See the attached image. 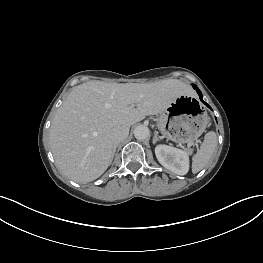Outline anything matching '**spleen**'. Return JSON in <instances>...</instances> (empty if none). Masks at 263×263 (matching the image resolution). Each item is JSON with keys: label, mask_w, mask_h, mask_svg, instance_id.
<instances>
[{"label": "spleen", "mask_w": 263, "mask_h": 263, "mask_svg": "<svg viewBox=\"0 0 263 263\" xmlns=\"http://www.w3.org/2000/svg\"><path fill=\"white\" fill-rule=\"evenodd\" d=\"M217 144V136L213 131L205 135L204 141L192 159V172L198 173L212 157Z\"/></svg>", "instance_id": "spleen-1"}]
</instances>
